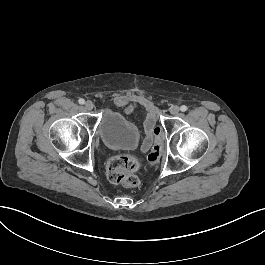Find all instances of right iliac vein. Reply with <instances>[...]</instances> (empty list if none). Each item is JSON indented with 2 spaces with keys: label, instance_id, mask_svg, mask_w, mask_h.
<instances>
[{
  "label": "right iliac vein",
  "instance_id": "obj_1",
  "mask_svg": "<svg viewBox=\"0 0 265 265\" xmlns=\"http://www.w3.org/2000/svg\"><path fill=\"white\" fill-rule=\"evenodd\" d=\"M84 106H85V109L92 110L94 107V104L91 101H87Z\"/></svg>",
  "mask_w": 265,
  "mask_h": 265
}]
</instances>
